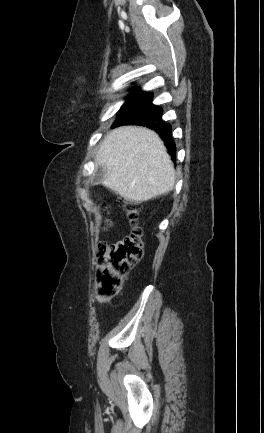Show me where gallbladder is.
I'll return each instance as SVG.
<instances>
[{
    "label": "gallbladder",
    "instance_id": "bac80fb5",
    "mask_svg": "<svg viewBox=\"0 0 264 433\" xmlns=\"http://www.w3.org/2000/svg\"><path fill=\"white\" fill-rule=\"evenodd\" d=\"M106 175V171L103 166L99 165L98 163L95 166V170L93 173V177L91 179V185H99L104 180V177Z\"/></svg>",
    "mask_w": 264,
    "mask_h": 433
}]
</instances>
